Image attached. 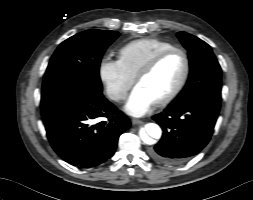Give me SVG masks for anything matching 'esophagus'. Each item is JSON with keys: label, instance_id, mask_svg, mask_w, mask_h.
<instances>
[{"label": "esophagus", "instance_id": "1", "mask_svg": "<svg viewBox=\"0 0 253 200\" xmlns=\"http://www.w3.org/2000/svg\"><path fill=\"white\" fill-rule=\"evenodd\" d=\"M144 122L142 120H139V119H132V124L133 125H141L143 124Z\"/></svg>", "mask_w": 253, "mask_h": 200}]
</instances>
